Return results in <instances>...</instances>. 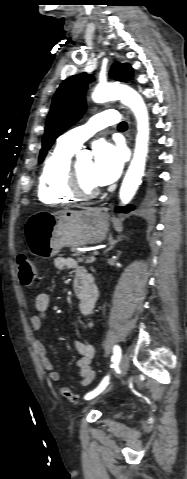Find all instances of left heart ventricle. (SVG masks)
<instances>
[{"instance_id": "obj_1", "label": "left heart ventricle", "mask_w": 187, "mask_h": 479, "mask_svg": "<svg viewBox=\"0 0 187 479\" xmlns=\"http://www.w3.org/2000/svg\"><path fill=\"white\" fill-rule=\"evenodd\" d=\"M78 173L81 177V180L86 188H94L97 185L94 183L92 179V161H80L76 163Z\"/></svg>"}]
</instances>
